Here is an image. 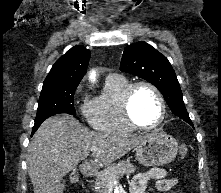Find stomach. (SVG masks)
Listing matches in <instances>:
<instances>
[{
  "label": "stomach",
  "instance_id": "0dacf381",
  "mask_svg": "<svg viewBox=\"0 0 221 193\" xmlns=\"http://www.w3.org/2000/svg\"><path fill=\"white\" fill-rule=\"evenodd\" d=\"M136 158L144 166H162L172 162L178 152L177 141L164 133L150 134L136 147Z\"/></svg>",
  "mask_w": 221,
  "mask_h": 193
}]
</instances>
